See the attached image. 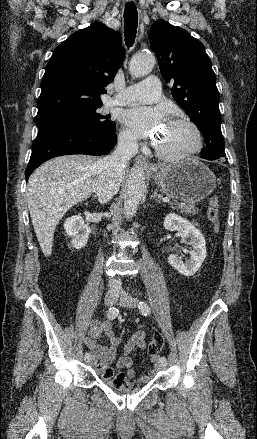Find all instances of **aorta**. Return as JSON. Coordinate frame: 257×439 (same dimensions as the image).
<instances>
[{
    "mask_svg": "<svg viewBox=\"0 0 257 439\" xmlns=\"http://www.w3.org/2000/svg\"><path fill=\"white\" fill-rule=\"evenodd\" d=\"M154 64L155 58L151 53L138 54L131 59L129 71L135 77H143L152 71ZM144 188V171L141 167L135 166L130 172L124 193V211L127 218L136 213Z\"/></svg>",
    "mask_w": 257,
    "mask_h": 439,
    "instance_id": "1",
    "label": "aorta"
}]
</instances>
